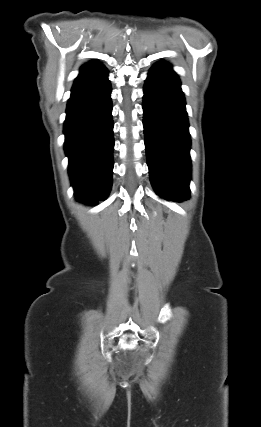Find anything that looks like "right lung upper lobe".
<instances>
[{"label":"right lung upper lobe","instance_id":"1","mask_svg":"<svg viewBox=\"0 0 261 427\" xmlns=\"http://www.w3.org/2000/svg\"><path fill=\"white\" fill-rule=\"evenodd\" d=\"M101 65H102L101 63H98L96 61H91V62H89L88 64L84 65L81 68L80 73H83V72H86L88 70L94 69V68L99 67Z\"/></svg>","mask_w":261,"mask_h":427}]
</instances>
